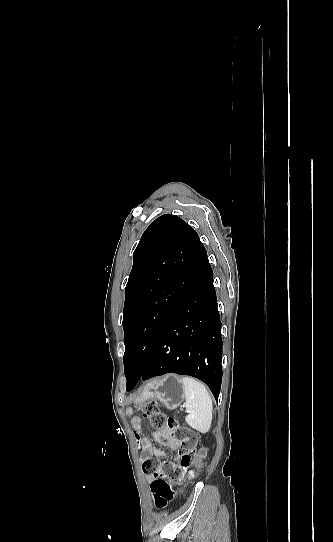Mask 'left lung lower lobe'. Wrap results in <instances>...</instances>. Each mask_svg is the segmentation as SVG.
<instances>
[{
  "label": "left lung lower lobe",
  "instance_id": "left-lung-lower-lobe-1",
  "mask_svg": "<svg viewBox=\"0 0 333 542\" xmlns=\"http://www.w3.org/2000/svg\"><path fill=\"white\" fill-rule=\"evenodd\" d=\"M221 361V322L208 261L161 329L142 374L128 380L126 390L141 379L173 372L200 379L218 400Z\"/></svg>",
  "mask_w": 333,
  "mask_h": 542
}]
</instances>
